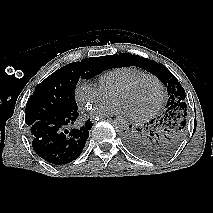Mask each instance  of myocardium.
<instances>
[{
	"label": "myocardium",
	"instance_id": "myocardium-1",
	"mask_svg": "<svg viewBox=\"0 0 213 213\" xmlns=\"http://www.w3.org/2000/svg\"><path fill=\"white\" fill-rule=\"evenodd\" d=\"M147 79H152L158 84L159 92H160L159 99H158L156 105L151 110H149L148 112L141 114V115H130V117L133 120H136V121H144V120L150 119L162 107V104H163L164 99H165V94H166L165 93V86H164L162 80L159 77H157L156 75H153V74L141 75V76H138V77L132 79L131 81L123 84L122 86L118 87L112 93V97H113V95H115L116 93L129 90V89L133 88L134 86L138 85L139 83H141L142 81L147 80Z\"/></svg>",
	"mask_w": 213,
	"mask_h": 213
}]
</instances>
